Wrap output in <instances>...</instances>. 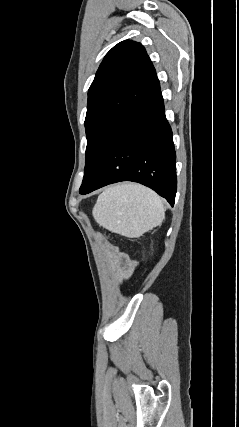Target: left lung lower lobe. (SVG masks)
Segmentation results:
<instances>
[{
  "mask_svg": "<svg viewBox=\"0 0 239 427\" xmlns=\"http://www.w3.org/2000/svg\"><path fill=\"white\" fill-rule=\"evenodd\" d=\"M175 159L172 130L159 90L118 130L80 194L120 181H134L150 187L173 206L177 189Z\"/></svg>",
  "mask_w": 239,
  "mask_h": 427,
  "instance_id": "left-lung-lower-lobe-1",
  "label": "left lung lower lobe"
}]
</instances>
